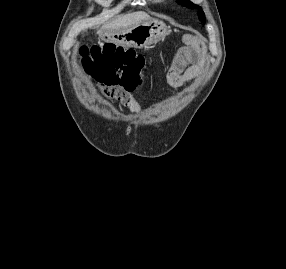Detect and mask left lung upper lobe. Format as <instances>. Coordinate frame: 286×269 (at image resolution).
I'll use <instances>...</instances> for the list:
<instances>
[{
	"mask_svg": "<svg viewBox=\"0 0 286 269\" xmlns=\"http://www.w3.org/2000/svg\"><path fill=\"white\" fill-rule=\"evenodd\" d=\"M178 1L181 2L183 5L187 6L188 8H191V9H200L201 8L200 6L191 3L189 0H178ZM198 16H199L200 20L204 19V12L199 11Z\"/></svg>",
	"mask_w": 286,
	"mask_h": 269,
	"instance_id": "left-lung-upper-lobe-1",
	"label": "left lung upper lobe"
}]
</instances>
